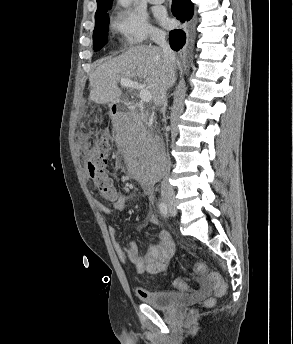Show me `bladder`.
Here are the masks:
<instances>
[{
	"mask_svg": "<svg viewBox=\"0 0 293 344\" xmlns=\"http://www.w3.org/2000/svg\"><path fill=\"white\" fill-rule=\"evenodd\" d=\"M186 295L173 290H145L143 300L146 304L160 310L168 309L183 301Z\"/></svg>",
	"mask_w": 293,
	"mask_h": 344,
	"instance_id": "1",
	"label": "bladder"
}]
</instances>
